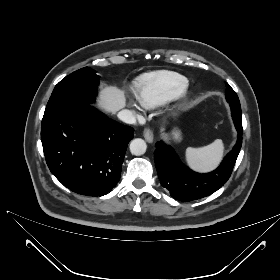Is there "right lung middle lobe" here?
I'll return each mask as SVG.
<instances>
[{
    "label": "right lung middle lobe",
    "mask_w": 280,
    "mask_h": 280,
    "mask_svg": "<svg viewBox=\"0 0 280 280\" xmlns=\"http://www.w3.org/2000/svg\"><path fill=\"white\" fill-rule=\"evenodd\" d=\"M95 73V70L84 67L62 79L55 86L47 103L46 110L65 102H80L84 104L94 102L99 79V76Z\"/></svg>",
    "instance_id": "obj_1"
}]
</instances>
